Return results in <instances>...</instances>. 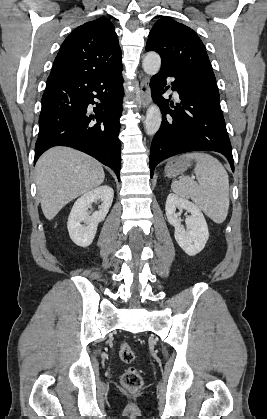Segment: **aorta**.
<instances>
[{
	"label": "aorta",
	"instance_id": "aorta-1",
	"mask_svg": "<svg viewBox=\"0 0 267 419\" xmlns=\"http://www.w3.org/2000/svg\"><path fill=\"white\" fill-rule=\"evenodd\" d=\"M145 73L153 76L158 73L161 67V58L156 52H148L142 63ZM162 121V114L156 104L148 107L145 119V131L147 135H154L160 128Z\"/></svg>",
	"mask_w": 267,
	"mask_h": 419
}]
</instances>
